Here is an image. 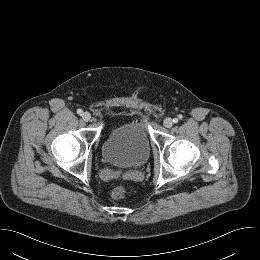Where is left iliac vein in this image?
<instances>
[{"mask_svg":"<svg viewBox=\"0 0 260 260\" xmlns=\"http://www.w3.org/2000/svg\"><path fill=\"white\" fill-rule=\"evenodd\" d=\"M166 128H171L173 126V120L171 118H165L163 122Z\"/></svg>","mask_w":260,"mask_h":260,"instance_id":"4c4485c4","label":"left iliac vein"}]
</instances>
